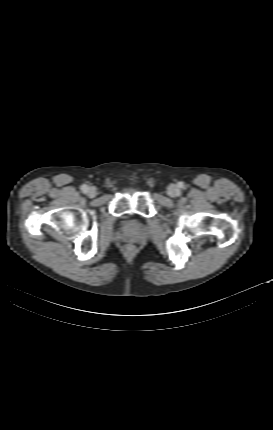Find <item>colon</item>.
<instances>
[{
    "label": "colon",
    "mask_w": 273,
    "mask_h": 430,
    "mask_svg": "<svg viewBox=\"0 0 273 430\" xmlns=\"http://www.w3.org/2000/svg\"><path fill=\"white\" fill-rule=\"evenodd\" d=\"M149 185H150V186H152V185H153V183H152V182H150V183H149ZM127 249H128L129 251H131V250H132V247H131V246H128V247H127Z\"/></svg>",
    "instance_id": "obj_1"
}]
</instances>
